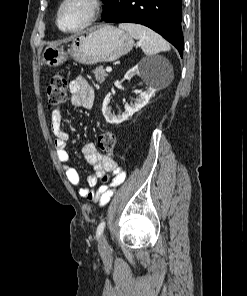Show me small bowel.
Masks as SVG:
<instances>
[{
    "mask_svg": "<svg viewBox=\"0 0 247 296\" xmlns=\"http://www.w3.org/2000/svg\"><path fill=\"white\" fill-rule=\"evenodd\" d=\"M70 103L74 107L89 109L94 103V90L88 81L79 76L69 82ZM51 130L55 136L54 149L56 156L64 170L66 179L73 186L80 183L79 172L70 165L69 154L66 150L69 134L62 128V112L55 109L51 113ZM82 152L85 159L92 165L93 171L86 179L85 187H81L78 193L81 197L96 203L99 207L105 206L114 195L115 189L123 180L124 174L116 161L100 153L95 144L88 142L83 145ZM113 176L109 184H106ZM102 181L101 185H98Z\"/></svg>",
    "mask_w": 247,
    "mask_h": 296,
    "instance_id": "obj_1",
    "label": "small bowel"
}]
</instances>
